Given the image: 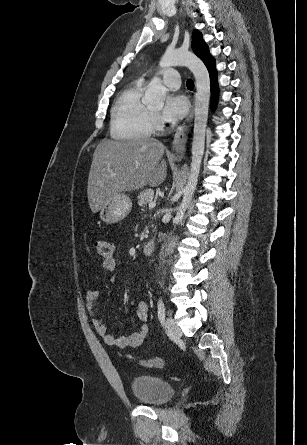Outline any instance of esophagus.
Returning a JSON list of instances; mask_svg holds the SVG:
<instances>
[{"label":"esophagus","instance_id":"1","mask_svg":"<svg viewBox=\"0 0 307 445\" xmlns=\"http://www.w3.org/2000/svg\"><path fill=\"white\" fill-rule=\"evenodd\" d=\"M193 118H194V106L192 105L188 117L184 120L182 125H180L177 128L173 138L171 154L175 158H183L185 154V146L190 128L192 126Z\"/></svg>","mask_w":307,"mask_h":445}]
</instances>
